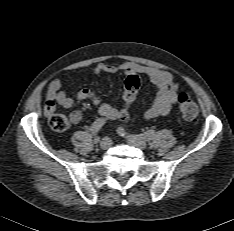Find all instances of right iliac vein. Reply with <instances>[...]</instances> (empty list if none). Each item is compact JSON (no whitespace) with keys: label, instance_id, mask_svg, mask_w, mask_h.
Returning <instances> with one entry per match:
<instances>
[{"label":"right iliac vein","instance_id":"obj_1","mask_svg":"<svg viewBox=\"0 0 234 231\" xmlns=\"http://www.w3.org/2000/svg\"><path fill=\"white\" fill-rule=\"evenodd\" d=\"M112 145V140L109 137H105L101 140L100 142V148L102 150H107L111 147Z\"/></svg>","mask_w":234,"mask_h":231}]
</instances>
